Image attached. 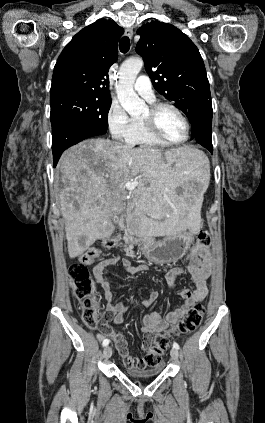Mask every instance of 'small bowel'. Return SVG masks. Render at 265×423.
<instances>
[{"mask_svg":"<svg viewBox=\"0 0 265 423\" xmlns=\"http://www.w3.org/2000/svg\"><path fill=\"white\" fill-rule=\"evenodd\" d=\"M119 260L120 258L118 256L112 255L98 262L94 267L96 281L100 284L105 295L107 302L106 309L111 314L112 321L115 325L123 324L124 312L127 310V306L125 304L121 302H113L114 295L108 279L109 267L115 265ZM121 262L128 273H136L138 271L147 270V266L144 264L132 266L127 259H122ZM213 263V256L206 247L199 253H195L193 251L191 252L189 256V263L185 270L179 267H174L165 273L168 285L174 288L176 286V277L185 271L190 275L193 287L178 290V294L184 299V302L180 307L168 313L166 318H162L157 312H152L144 316L143 325L141 327L144 334V342L142 344L143 351H148L151 346L152 337L155 334L164 331L170 324H177L179 320H181L191 310L196 302L203 298L206 294V280L211 274ZM157 298L158 293L152 292L141 302V306L149 308L154 304ZM105 335L112 338L125 366L137 367V364L143 360L130 354L128 343L121 334L113 333L111 330L110 332L100 333L98 338L103 339Z\"/></svg>","mask_w":265,"mask_h":423,"instance_id":"1","label":"small bowel"}]
</instances>
